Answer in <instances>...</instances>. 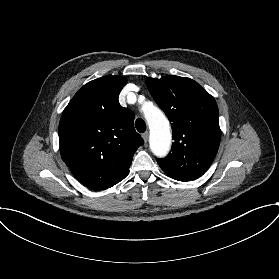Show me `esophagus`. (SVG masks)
I'll use <instances>...</instances> for the list:
<instances>
[{"instance_id":"esophagus-1","label":"esophagus","mask_w":279,"mask_h":279,"mask_svg":"<svg viewBox=\"0 0 279 279\" xmlns=\"http://www.w3.org/2000/svg\"><path fill=\"white\" fill-rule=\"evenodd\" d=\"M142 138L144 139V142L146 143L148 141V132L142 134Z\"/></svg>"}]
</instances>
